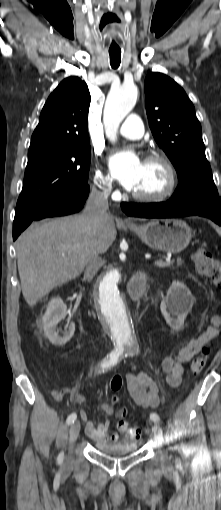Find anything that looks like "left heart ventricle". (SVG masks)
<instances>
[{"mask_svg":"<svg viewBox=\"0 0 221 510\" xmlns=\"http://www.w3.org/2000/svg\"><path fill=\"white\" fill-rule=\"evenodd\" d=\"M167 173L159 162H143L140 180L134 190L140 194H156L164 189Z\"/></svg>","mask_w":221,"mask_h":510,"instance_id":"b2bd125f","label":"left heart ventricle"}]
</instances>
